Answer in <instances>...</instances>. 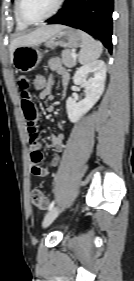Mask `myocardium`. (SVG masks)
I'll use <instances>...</instances> for the list:
<instances>
[{
	"instance_id": "1",
	"label": "myocardium",
	"mask_w": 134,
	"mask_h": 281,
	"mask_svg": "<svg viewBox=\"0 0 134 281\" xmlns=\"http://www.w3.org/2000/svg\"><path fill=\"white\" fill-rule=\"evenodd\" d=\"M65 0H58L57 5L55 6V8L46 16L40 18V19H29L28 17H26L22 11V0H16V12L18 15V18L27 25H37L40 23H43L47 20H49L50 18H52L53 16H55L63 7Z\"/></svg>"
}]
</instances>
